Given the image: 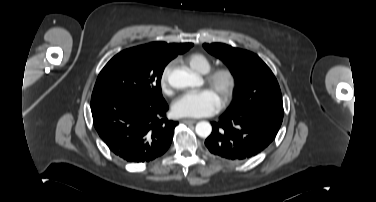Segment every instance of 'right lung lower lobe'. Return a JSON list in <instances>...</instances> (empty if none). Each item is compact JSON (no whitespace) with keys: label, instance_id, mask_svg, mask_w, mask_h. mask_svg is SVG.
<instances>
[{"label":"right lung lower lobe","instance_id":"98d812e1","mask_svg":"<svg viewBox=\"0 0 376 202\" xmlns=\"http://www.w3.org/2000/svg\"><path fill=\"white\" fill-rule=\"evenodd\" d=\"M163 98L109 95L91 101L94 126L110 150L128 162H148L164 154L175 121L166 118Z\"/></svg>","mask_w":376,"mask_h":202}]
</instances>
